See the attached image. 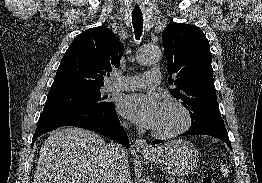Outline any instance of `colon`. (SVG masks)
<instances>
[{
	"label": "colon",
	"instance_id": "5ec220e1",
	"mask_svg": "<svg viewBox=\"0 0 262 183\" xmlns=\"http://www.w3.org/2000/svg\"><path fill=\"white\" fill-rule=\"evenodd\" d=\"M201 183H218L216 182L212 177L210 176H205L202 178Z\"/></svg>",
	"mask_w": 262,
	"mask_h": 183
}]
</instances>
